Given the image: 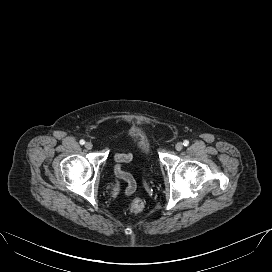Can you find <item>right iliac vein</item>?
I'll return each instance as SVG.
<instances>
[{
	"label": "right iliac vein",
	"mask_w": 272,
	"mask_h": 272,
	"mask_svg": "<svg viewBox=\"0 0 272 272\" xmlns=\"http://www.w3.org/2000/svg\"><path fill=\"white\" fill-rule=\"evenodd\" d=\"M92 147H93V145H92L91 142H87V143L85 144V148H86L87 150H91Z\"/></svg>",
	"instance_id": "63e3f726"
}]
</instances>
